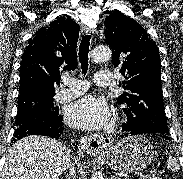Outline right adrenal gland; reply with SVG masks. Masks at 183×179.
Masks as SVG:
<instances>
[{
  "label": "right adrenal gland",
  "instance_id": "right-adrenal-gland-1",
  "mask_svg": "<svg viewBox=\"0 0 183 179\" xmlns=\"http://www.w3.org/2000/svg\"><path fill=\"white\" fill-rule=\"evenodd\" d=\"M68 179H76V170L74 167V164H72L70 162L69 166H68V175H67Z\"/></svg>",
  "mask_w": 183,
  "mask_h": 179
}]
</instances>
